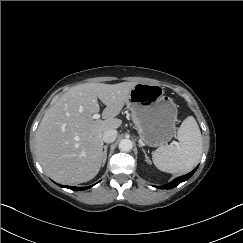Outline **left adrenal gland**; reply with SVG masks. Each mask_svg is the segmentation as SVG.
I'll return each mask as SVG.
<instances>
[{"mask_svg":"<svg viewBox=\"0 0 243 243\" xmlns=\"http://www.w3.org/2000/svg\"><path fill=\"white\" fill-rule=\"evenodd\" d=\"M142 151H143V153H144V155H145V159H146V161H147L148 163H151V160L149 159V157H148L146 151H145L144 149H142Z\"/></svg>","mask_w":243,"mask_h":243,"instance_id":"1","label":"left adrenal gland"}]
</instances>
